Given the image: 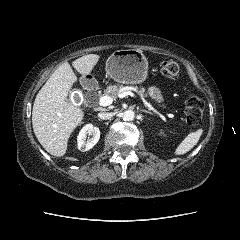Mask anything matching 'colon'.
I'll list each match as a JSON object with an SVG mask.
<instances>
[{
  "label": "colon",
  "instance_id": "colon-1",
  "mask_svg": "<svg viewBox=\"0 0 240 240\" xmlns=\"http://www.w3.org/2000/svg\"><path fill=\"white\" fill-rule=\"evenodd\" d=\"M160 71L164 77L171 79L179 74L180 68L176 61L168 59L161 63ZM184 112L190 124H198L204 113L203 100L195 94H189L185 101Z\"/></svg>",
  "mask_w": 240,
  "mask_h": 240
}]
</instances>
